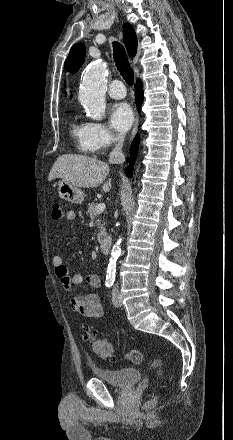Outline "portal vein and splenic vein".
<instances>
[{
	"mask_svg": "<svg viewBox=\"0 0 233 440\" xmlns=\"http://www.w3.org/2000/svg\"><path fill=\"white\" fill-rule=\"evenodd\" d=\"M105 207H106L105 203H99L96 207V213L98 214L103 212L105 210Z\"/></svg>",
	"mask_w": 233,
	"mask_h": 440,
	"instance_id": "portal-vein-and-splenic-vein-1",
	"label": "portal vein and splenic vein"
}]
</instances>
